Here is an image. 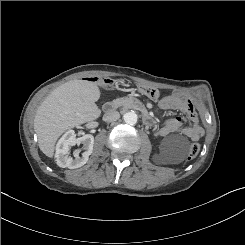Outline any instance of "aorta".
Segmentation results:
<instances>
[{
	"mask_svg": "<svg viewBox=\"0 0 245 245\" xmlns=\"http://www.w3.org/2000/svg\"><path fill=\"white\" fill-rule=\"evenodd\" d=\"M125 123L129 125H134L137 123L138 116L134 111L127 112L123 115Z\"/></svg>",
	"mask_w": 245,
	"mask_h": 245,
	"instance_id": "1",
	"label": "aorta"
}]
</instances>
